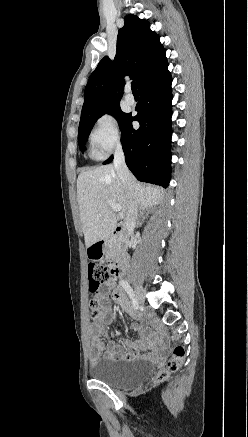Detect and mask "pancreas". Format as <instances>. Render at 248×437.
I'll use <instances>...</instances> for the list:
<instances>
[{
    "label": "pancreas",
    "instance_id": "obj_1",
    "mask_svg": "<svg viewBox=\"0 0 248 437\" xmlns=\"http://www.w3.org/2000/svg\"><path fill=\"white\" fill-rule=\"evenodd\" d=\"M122 246V240L119 238H113L108 242L109 251L114 255L121 251Z\"/></svg>",
    "mask_w": 248,
    "mask_h": 437
}]
</instances>
